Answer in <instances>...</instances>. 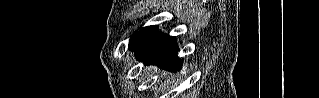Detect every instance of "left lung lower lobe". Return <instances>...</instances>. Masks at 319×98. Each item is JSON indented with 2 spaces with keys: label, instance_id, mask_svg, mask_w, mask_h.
<instances>
[{
  "label": "left lung lower lobe",
  "instance_id": "obj_1",
  "mask_svg": "<svg viewBox=\"0 0 319 98\" xmlns=\"http://www.w3.org/2000/svg\"><path fill=\"white\" fill-rule=\"evenodd\" d=\"M129 48L135 52L136 59L144 64H155L169 70H180L181 60L175 37L161 34L157 26H148L131 37Z\"/></svg>",
  "mask_w": 319,
  "mask_h": 98
}]
</instances>
